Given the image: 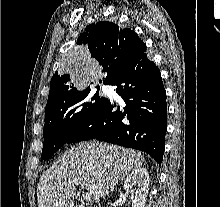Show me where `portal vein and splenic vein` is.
<instances>
[{"mask_svg":"<svg viewBox=\"0 0 220 207\" xmlns=\"http://www.w3.org/2000/svg\"><path fill=\"white\" fill-rule=\"evenodd\" d=\"M69 184H75V185H79V181L77 180H71V181H68ZM92 198V194L90 192H84L83 193V199L86 200V201H90Z\"/></svg>","mask_w":220,"mask_h":207,"instance_id":"1","label":"portal vein and splenic vein"}]
</instances>
